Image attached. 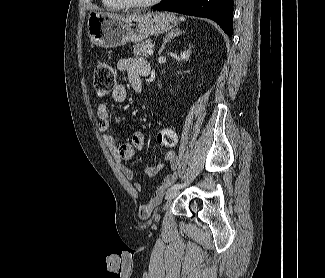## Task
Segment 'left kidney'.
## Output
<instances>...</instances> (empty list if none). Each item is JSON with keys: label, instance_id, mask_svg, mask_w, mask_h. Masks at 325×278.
I'll return each instance as SVG.
<instances>
[{"label": "left kidney", "instance_id": "1", "mask_svg": "<svg viewBox=\"0 0 325 278\" xmlns=\"http://www.w3.org/2000/svg\"><path fill=\"white\" fill-rule=\"evenodd\" d=\"M190 57V50L184 51L183 53H181V60H188V58Z\"/></svg>", "mask_w": 325, "mask_h": 278}]
</instances>
